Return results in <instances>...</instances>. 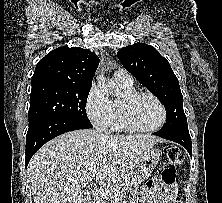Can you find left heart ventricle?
I'll return each mask as SVG.
<instances>
[{
    "label": "left heart ventricle",
    "mask_w": 222,
    "mask_h": 203,
    "mask_svg": "<svg viewBox=\"0 0 222 203\" xmlns=\"http://www.w3.org/2000/svg\"><path fill=\"white\" fill-rule=\"evenodd\" d=\"M135 122L144 128L158 125L162 119V112L157 103L150 97L137 99L131 107Z\"/></svg>",
    "instance_id": "left-heart-ventricle-1"
}]
</instances>
